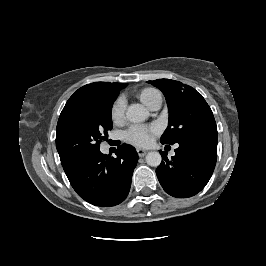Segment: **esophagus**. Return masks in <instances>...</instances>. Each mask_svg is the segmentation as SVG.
<instances>
[{
    "mask_svg": "<svg viewBox=\"0 0 266 266\" xmlns=\"http://www.w3.org/2000/svg\"><path fill=\"white\" fill-rule=\"evenodd\" d=\"M136 151H137V154H138L139 157H144L147 154L146 150H143V149H140V148H138Z\"/></svg>",
    "mask_w": 266,
    "mask_h": 266,
    "instance_id": "esophagus-1",
    "label": "esophagus"
}]
</instances>
